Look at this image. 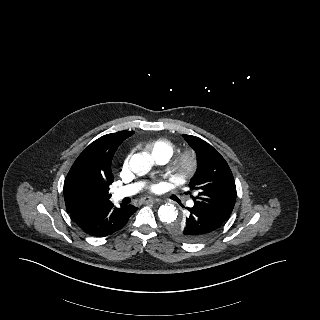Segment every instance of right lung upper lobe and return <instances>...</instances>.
Here are the masks:
<instances>
[{"mask_svg": "<svg viewBox=\"0 0 320 320\" xmlns=\"http://www.w3.org/2000/svg\"><path fill=\"white\" fill-rule=\"evenodd\" d=\"M133 134L134 131H119L104 135L79 155L64 181V198L68 212L98 205L85 201L82 192L90 185L109 186L114 181L111 172L113 155L118 146Z\"/></svg>", "mask_w": 320, "mask_h": 320, "instance_id": "right-lung-upper-lobe-1", "label": "right lung upper lobe"}]
</instances>
